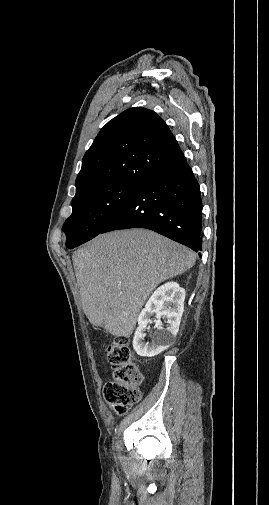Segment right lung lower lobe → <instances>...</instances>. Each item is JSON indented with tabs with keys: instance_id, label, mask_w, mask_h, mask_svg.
Wrapping results in <instances>:
<instances>
[{
	"instance_id": "right-lung-lower-lobe-1",
	"label": "right lung lower lobe",
	"mask_w": 269,
	"mask_h": 505,
	"mask_svg": "<svg viewBox=\"0 0 269 505\" xmlns=\"http://www.w3.org/2000/svg\"><path fill=\"white\" fill-rule=\"evenodd\" d=\"M146 228L190 247L202 248L199 184L182 156L153 173L101 233Z\"/></svg>"
}]
</instances>
